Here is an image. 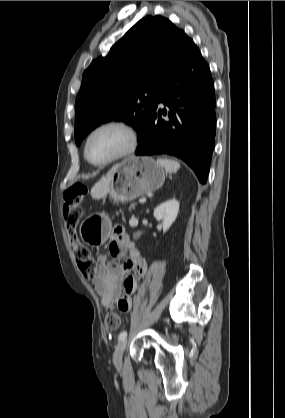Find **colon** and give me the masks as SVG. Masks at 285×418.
Instances as JSON below:
<instances>
[{
  "mask_svg": "<svg viewBox=\"0 0 285 418\" xmlns=\"http://www.w3.org/2000/svg\"><path fill=\"white\" fill-rule=\"evenodd\" d=\"M83 186L75 184L64 192V204L62 208L64 221L67 227V236L73 245V252L76 262L84 275L88 279H93L97 275V264L92 258L91 251L80 242L77 226L81 216L79 202L84 194ZM121 228H117L115 234L122 233ZM120 325L119 314L111 307L107 309L105 316V327L108 331L115 330Z\"/></svg>",
  "mask_w": 285,
  "mask_h": 418,
  "instance_id": "5ec220e1",
  "label": "colon"
}]
</instances>
